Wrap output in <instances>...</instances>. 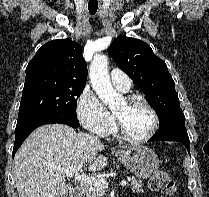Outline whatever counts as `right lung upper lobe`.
<instances>
[{
    "label": "right lung upper lobe",
    "mask_w": 209,
    "mask_h": 197,
    "mask_svg": "<svg viewBox=\"0 0 209 197\" xmlns=\"http://www.w3.org/2000/svg\"><path fill=\"white\" fill-rule=\"evenodd\" d=\"M87 66L82 47L70 39L53 40L43 45L28 63L25 83L36 80L86 84Z\"/></svg>",
    "instance_id": "obj_1"
}]
</instances>
